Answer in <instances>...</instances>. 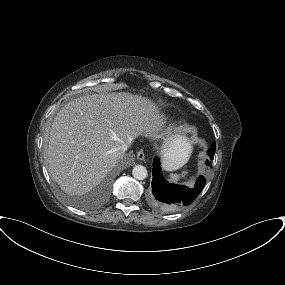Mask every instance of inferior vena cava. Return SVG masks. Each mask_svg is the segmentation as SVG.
<instances>
[{
  "instance_id": "obj_1",
  "label": "inferior vena cava",
  "mask_w": 285,
  "mask_h": 285,
  "mask_svg": "<svg viewBox=\"0 0 285 285\" xmlns=\"http://www.w3.org/2000/svg\"><path fill=\"white\" fill-rule=\"evenodd\" d=\"M127 148H128V144L126 143V144H123V145L121 146L120 150H121V152L124 154L125 151L127 150Z\"/></svg>"
}]
</instances>
